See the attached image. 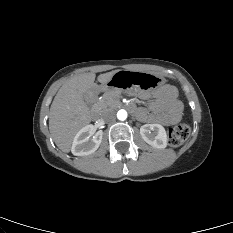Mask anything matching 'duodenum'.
Listing matches in <instances>:
<instances>
[{"label": "duodenum", "mask_w": 233, "mask_h": 233, "mask_svg": "<svg viewBox=\"0 0 233 233\" xmlns=\"http://www.w3.org/2000/svg\"><path fill=\"white\" fill-rule=\"evenodd\" d=\"M91 97H92L93 100L96 101L97 98H98V92H93ZM91 116H92L93 119H97L98 116H99V107H98L97 103H95L93 105V107H92Z\"/></svg>", "instance_id": "410a0bca"}]
</instances>
